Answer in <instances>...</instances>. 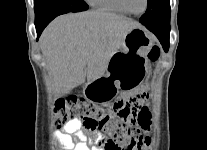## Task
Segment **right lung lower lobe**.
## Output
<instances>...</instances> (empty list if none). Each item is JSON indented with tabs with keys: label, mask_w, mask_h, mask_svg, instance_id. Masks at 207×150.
<instances>
[{
	"label": "right lung lower lobe",
	"mask_w": 207,
	"mask_h": 150,
	"mask_svg": "<svg viewBox=\"0 0 207 150\" xmlns=\"http://www.w3.org/2000/svg\"><path fill=\"white\" fill-rule=\"evenodd\" d=\"M61 14H64V13H61V12L51 13L39 19H35V27H36L38 37L40 36L44 28L49 24V22H51L56 16L61 15Z\"/></svg>",
	"instance_id": "98d812e1"
}]
</instances>
